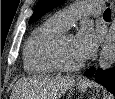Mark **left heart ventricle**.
<instances>
[{
  "label": "left heart ventricle",
  "instance_id": "1",
  "mask_svg": "<svg viewBox=\"0 0 115 99\" xmlns=\"http://www.w3.org/2000/svg\"><path fill=\"white\" fill-rule=\"evenodd\" d=\"M62 55L66 62L76 64L83 61L77 51L75 36L67 35L62 42Z\"/></svg>",
  "mask_w": 115,
  "mask_h": 99
}]
</instances>
